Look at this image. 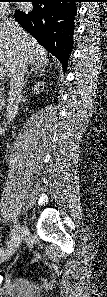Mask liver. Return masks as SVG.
Returning a JSON list of instances; mask_svg holds the SVG:
<instances>
[{
  "mask_svg": "<svg viewBox=\"0 0 107 297\" xmlns=\"http://www.w3.org/2000/svg\"><path fill=\"white\" fill-rule=\"evenodd\" d=\"M20 51H24L33 65L45 63L42 47L19 27L18 36L12 37L0 32V76L9 77L10 69Z\"/></svg>",
  "mask_w": 107,
  "mask_h": 297,
  "instance_id": "6515ba94",
  "label": "liver"
}]
</instances>
